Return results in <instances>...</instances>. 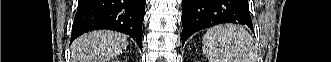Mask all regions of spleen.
I'll return each mask as SVG.
<instances>
[{
    "label": "spleen",
    "mask_w": 331,
    "mask_h": 62,
    "mask_svg": "<svg viewBox=\"0 0 331 62\" xmlns=\"http://www.w3.org/2000/svg\"><path fill=\"white\" fill-rule=\"evenodd\" d=\"M203 52L210 62H255L256 49L251 35L235 24L213 27L205 33Z\"/></svg>",
    "instance_id": "3e777b00"
}]
</instances>
